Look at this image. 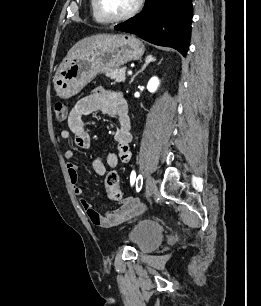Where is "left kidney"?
<instances>
[{"label":"left kidney","mask_w":261,"mask_h":306,"mask_svg":"<svg viewBox=\"0 0 261 306\" xmlns=\"http://www.w3.org/2000/svg\"><path fill=\"white\" fill-rule=\"evenodd\" d=\"M160 85V80L157 77H152L148 84H147V89L150 93H154Z\"/></svg>","instance_id":"1"}]
</instances>
